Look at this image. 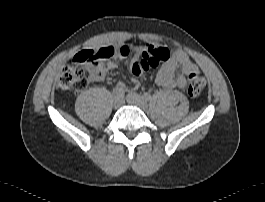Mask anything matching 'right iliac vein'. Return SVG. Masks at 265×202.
Returning <instances> with one entry per match:
<instances>
[{
  "label": "right iliac vein",
  "mask_w": 265,
  "mask_h": 202,
  "mask_svg": "<svg viewBox=\"0 0 265 202\" xmlns=\"http://www.w3.org/2000/svg\"><path fill=\"white\" fill-rule=\"evenodd\" d=\"M123 104V99L121 97H116L113 100L114 108H119Z\"/></svg>",
  "instance_id": "1"
}]
</instances>
